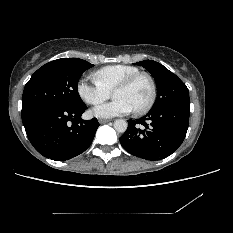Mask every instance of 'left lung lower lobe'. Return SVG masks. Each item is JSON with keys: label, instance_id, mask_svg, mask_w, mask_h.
Here are the masks:
<instances>
[{"label": "left lung lower lobe", "instance_id": "obj_1", "mask_svg": "<svg viewBox=\"0 0 233 233\" xmlns=\"http://www.w3.org/2000/svg\"><path fill=\"white\" fill-rule=\"evenodd\" d=\"M189 115L190 101L150 110L140 119L128 120L120 143L134 156L151 161L163 159L185 139Z\"/></svg>", "mask_w": 233, "mask_h": 233}]
</instances>
